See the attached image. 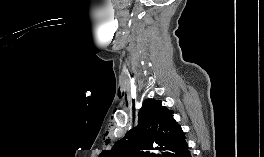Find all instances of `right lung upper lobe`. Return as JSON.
Returning a JSON list of instances; mask_svg holds the SVG:
<instances>
[{
	"label": "right lung upper lobe",
	"mask_w": 264,
	"mask_h": 157,
	"mask_svg": "<svg viewBox=\"0 0 264 157\" xmlns=\"http://www.w3.org/2000/svg\"><path fill=\"white\" fill-rule=\"evenodd\" d=\"M185 139L181 126L173 118V111L160 100L144 101L139 122L113 148L99 157H154L143 150H160L163 157Z\"/></svg>",
	"instance_id": "1"
}]
</instances>
